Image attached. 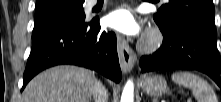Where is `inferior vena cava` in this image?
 Returning a JSON list of instances; mask_svg holds the SVG:
<instances>
[{
    "label": "inferior vena cava",
    "instance_id": "inferior-vena-cava-1",
    "mask_svg": "<svg viewBox=\"0 0 221 102\" xmlns=\"http://www.w3.org/2000/svg\"><path fill=\"white\" fill-rule=\"evenodd\" d=\"M93 95L95 102H108L107 91L100 81L95 80Z\"/></svg>",
    "mask_w": 221,
    "mask_h": 102
}]
</instances>
